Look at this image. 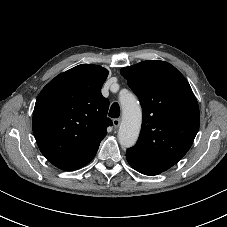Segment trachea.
Instances as JSON below:
<instances>
[{
	"mask_svg": "<svg viewBox=\"0 0 227 227\" xmlns=\"http://www.w3.org/2000/svg\"><path fill=\"white\" fill-rule=\"evenodd\" d=\"M109 116L111 118H118L120 116V107L117 102H114L111 105L110 111H109Z\"/></svg>",
	"mask_w": 227,
	"mask_h": 227,
	"instance_id": "1",
	"label": "trachea"
}]
</instances>
